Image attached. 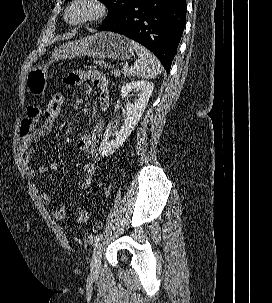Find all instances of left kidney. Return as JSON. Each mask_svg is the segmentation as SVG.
<instances>
[{
    "label": "left kidney",
    "mask_w": 272,
    "mask_h": 303,
    "mask_svg": "<svg viewBox=\"0 0 272 303\" xmlns=\"http://www.w3.org/2000/svg\"><path fill=\"white\" fill-rule=\"evenodd\" d=\"M153 89L154 84L152 82L143 80L131 81L122 86V98L128 97L130 92L134 91L138 92V99L134 102V104H126V118L124 119L120 130L115 133V138L113 140L109 139L112 124L110 123L107 126L99 148V153L101 156L111 155L124 143L143 115Z\"/></svg>",
    "instance_id": "left-kidney-1"
}]
</instances>
